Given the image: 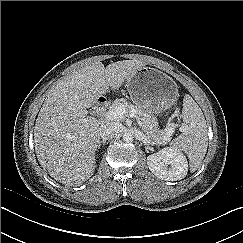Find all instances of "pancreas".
Segmentation results:
<instances>
[{
  "label": "pancreas",
  "instance_id": "pancreas-1",
  "mask_svg": "<svg viewBox=\"0 0 243 243\" xmlns=\"http://www.w3.org/2000/svg\"><path fill=\"white\" fill-rule=\"evenodd\" d=\"M124 105L126 111H129L130 108L136 110V116L142 123V130L147 135V137L155 142L156 144H162L165 141L170 140V137L173 133L171 128L159 129L158 122L155 117L150 114L148 111L144 110L141 107L131 104L126 99H116L112 103V108L118 105Z\"/></svg>",
  "mask_w": 243,
  "mask_h": 243
}]
</instances>
